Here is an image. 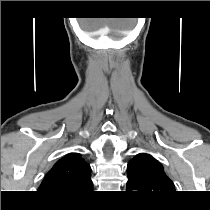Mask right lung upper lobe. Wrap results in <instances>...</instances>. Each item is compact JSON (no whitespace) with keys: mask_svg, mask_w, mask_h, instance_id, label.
Returning <instances> with one entry per match:
<instances>
[{"mask_svg":"<svg viewBox=\"0 0 210 210\" xmlns=\"http://www.w3.org/2000/svg\"><path fill=\"white\" fill-rule=\"evenodd\" d=\"M90 172V166L80 154L69 153L46 174L38 191L61 202L83 199L93 187Z\"/></svg>","mask_w":210,"mask_h":210,"instance_id":"obj_1","label":"right lung upper lobe"}]
</instances>
